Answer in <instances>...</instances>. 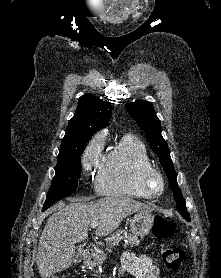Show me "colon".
<instances>
[{
  "label": "colon",
  "instance_id": "5ec220e1",
  "mask_svg": "<svg viewBox=\"0 0 221 278\" xmlns=\"http://www.w3.org/2000/svg\"><path fill=\"white\" fill-rule=\"evenodd\" d=\"M175 233L174 223L163 217L156 216L153 226V234L158 239L171 238ZM159 255L162 258L165 266L169 270H177L182 265L185 259V252L180 247L174 246H160ZM50 278H59L58 276H51ZM72 278H83L81 276H74Z\"/></svg>",
  "mask_w": 221,
  "mask_h": 278
}]
</instances>
